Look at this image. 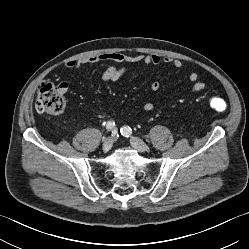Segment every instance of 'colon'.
Here are the masks:
<instances>
[{
	"label": "colon",
	"mask_w": 249,
	"mask_h": 249,
	"mask_svg": "<svg viewBox=\"0 0 249 249\" xmlns=\"http://www.w3.org/2000/svg\"><path fill=\"white\" fill-rule=\"evenodd\" d=\"M61 84L55 85L50 82L43 83L37 92L35 100V109L39 113L59 115L66 108V99L63 95ZM211 109L223 112L226 110L227 104L219 96H212L209 99Z\"/></svg>",
	"instance_id": "1"
}]
</instances>
